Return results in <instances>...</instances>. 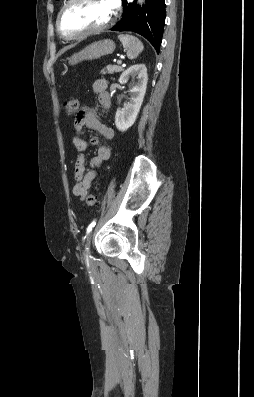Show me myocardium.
Returning <instances> with one entry per match:
<instances>
[{"instance_id": "obj_1", "label": "myocardium", "mask_w": 254, "mask_h": 397, "mask_svg": "<svg viewBox=\"0 0 254 397\" xmlns=\"http://www.w3.org/2000/svg\"><path fill=\"white\" fill-rule=\"evenodd\" d=\"M75 1L76 0H67L65 2V4L62 6V8L60 9V11L58 13V16H57L56 28H57V31L60 34V36H62L63 38L68 39V40H72V39H78V38H82V37H85V36H88V35L100 33L102 31L108 29L115 22L116 13H115L114 10H112L111 16L109 17V19L104 24H102V25H100L98 27H95V28H91V29H88V30L81 31L79 33H75V34L66 33L61 27V19H62V16H63L65 10Z\"/></svg>"}]
</instances>
